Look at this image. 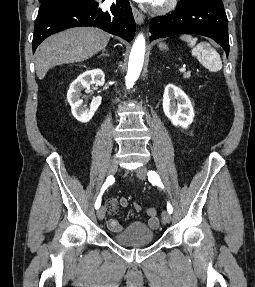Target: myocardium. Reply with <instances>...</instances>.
<instances>
[{"label":"myocardium","instance_id":"f54148a6","mask_svg":"<svg viewBox=\"0 0 255 287\" xmlns=\"http://www.w3.org/2000/svg\"><path fill=\"white\" fill-rule=\"evenodd\" d=\"M147 33H150V32H147ZM142 39H144V38H142ZM160 39H165V38H160ZM118 48H123V47H118ZM133 48H135V47H133ZM165 48H169V47H165Z\"/></svg>","mask_w":255,"mask_h":287}]
</instances>
